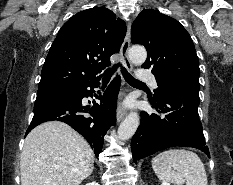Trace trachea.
Instances as JSON below:
<instances>
[{
  "mask_svg": "<svg viewBox=\"0 0 233 185\" xmlns=\"http://www.w3.org/2000/svg\"><path fill=\"white\" fill-rule=\"evenodd\" d=\"M121 66L120 63L115 64L112 68H109L105 71L104 74V79H103V83L107 84L111 78V76L113 75V73L117 70V68ZM121 72L122 75L125 79V81L129 84H144L141 81L135 79L127 70L125 67L121 66Z\"/></svg>",
  "mask_w": 233,
  "mask_h": 185,
  "instance_id": "3493384b",
  "label": "trachea"
}]
</instances>
